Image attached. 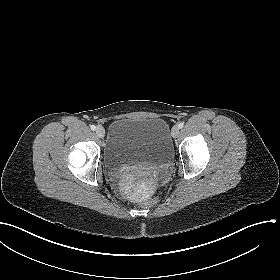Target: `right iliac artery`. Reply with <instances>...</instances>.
<instances>
[{"label": "right iliac artery", "mask_w": 280, "mask_h": 280, "mask_svg": "<svg viewBox=\"0 0 280 280\" xmlns=\"http://www.w3.org/2000/svg\"><path fill=\"white\" fill-rule=\"evenodd\" d=\"M90 128H91V130L94 131L96 129V126L95 125H91Z\"/></svg>", "instance_id": "obj_1"}]
</instances>
